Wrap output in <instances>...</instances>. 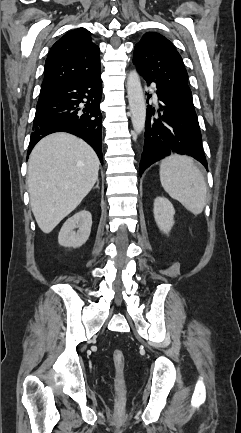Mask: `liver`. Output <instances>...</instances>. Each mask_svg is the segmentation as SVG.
Segmentation results:
<instances>
[{"mask_svg": "<svg viewBox=\"0 0 241 433\" xmlns=\"http://www.w3.org/2000/svg\"><path fill=\"white\" fill-rule=\"evenodd\" d=\"M99 159L82 139L68 133L43 138L28 161L30 205L39 228L50 233L98 180Z\"/></svg>", "mask_w": 241, "mask_h": 433, "instance_id": "6515ba94", "label": "liver"}]
</instances>
